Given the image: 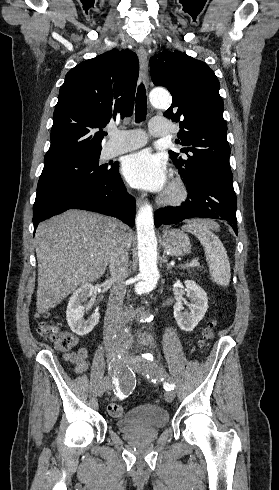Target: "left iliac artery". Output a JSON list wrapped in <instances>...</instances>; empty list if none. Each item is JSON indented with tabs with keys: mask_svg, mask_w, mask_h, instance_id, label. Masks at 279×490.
Returning a JSON list of instances; mask_svg holds the SVG:
<instances>
[{
	"mask_svg": "<svg viewBox=\"0 0 279 490\" xmlns=\"http://www.w3.org/2000/svg\"><path fill=\"white\" fill-rule=\"evenodd\" d=\"M171 387H172V390H173V389H174V384H173V385H171ZM170 390H171V389H170Z\"/></svg>",
	"mask_w": 279,
	"mask_h": 490,
	"instance_id": "obj_1",
	"label": "left iliac artery"
}]
</instances>
